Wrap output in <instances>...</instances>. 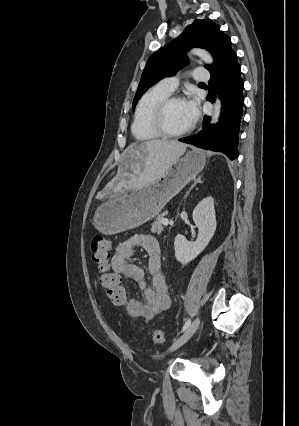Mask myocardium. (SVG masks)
Masks as SVG:
<instances>
[{"label": "myocardium", "instance_id": "myocardium-1", "mask_svg": "<svg viewBox=\"0 0 299 426\" xmlns=\"http://www.w3.org/2000/svg\"><path fill=\"white\" fill-rule=\"evenodd\" d=\"M176 101H183L184 99L177 95H169L164 98L155 108L152 115V126L155 131L162 137L176 138L189 133L193 128V123H190L186 128L180 131H170L165 122L166 112L169 106Z\"/></svg>", "mask_w": 299, "mask_h": 426}]
</instances>
